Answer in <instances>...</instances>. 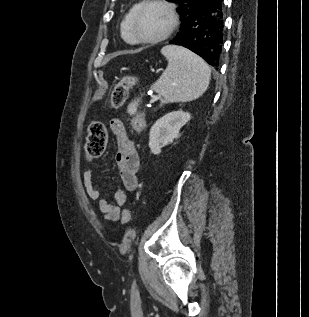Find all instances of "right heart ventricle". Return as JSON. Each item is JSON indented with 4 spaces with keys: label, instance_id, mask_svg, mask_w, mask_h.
I'll return each instance as SVG.
<instances>
[{
    "label": "right heart ventricle",
    "instance_id": "right-heart-ventricle-1",
    "mask_svg": "<svg viewBox=\"0 0 309 317\" xmlns=\"http://www.w3.org/2000/svg\"><path fill=\"white\" fill-rule=\"evenodd\" d=\"M138 7V5H134L129 11L128 13L125 15L122 23H121V34H122V37L123 39L130 43V44H134L136 43V39L133 35V32H132V26H131V22H132V17H133V14L136 10V8Z\"/></svg>",
    "mask_w": 309,
    "mask_h": 317
}]
</instances>
